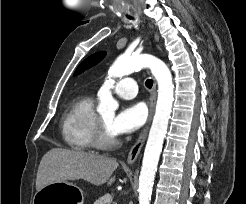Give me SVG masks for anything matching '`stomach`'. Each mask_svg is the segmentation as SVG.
<instances>
[{"label":"stomach","mask_w":246,"mask_h":204,"mask_svg":"<svg viewBox=\"0 0 246 204\" xmlns=\"http://www.w3.org/2000/svg\"><path fill=\"white\" fill-rule=\"evenodd\" d=\"M83 192L68 181L54 182L37 191L32 204H83Z\"/></svg>","instance_id":"obj_1"}]
</instances>
